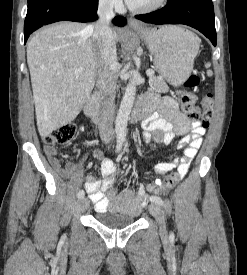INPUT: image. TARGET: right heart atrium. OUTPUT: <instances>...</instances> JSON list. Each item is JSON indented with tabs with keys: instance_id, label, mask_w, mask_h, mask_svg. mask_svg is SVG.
<instances>
[{
	"instance_id": "obj_1",
	"label": "right heart atrium",
	"mask_w": 247,
	"mask_h": 275,
	"mask_svg": "<svg viewBox=\"0 0 247 275\" xmlns=\"http://www.w3.org/2000/svg\"><path fill=\"white\" fill-rule=\"evenodd\" d=\"M99 5L107 10L119 9L122 5V0H98Z\"/></svg>"
}]
</instances>
